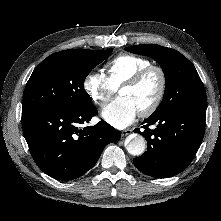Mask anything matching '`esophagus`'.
<instances>
[{
  "label": "esophagus",
  "instance_id": "1",
  "mask_svg": "<svg viewBox=\"0 0 221 221\" xmlns=\"http://www.w3.org/2000/svg\"><path fill=\"white\" fill-rule=\"evenodd\" d=\"M131 133H132L131 129H125L121 131V136H127V135H130Z\"/></svg>",
  "mask_w": 221,
  "mask_h": 221
}]
</instances>
